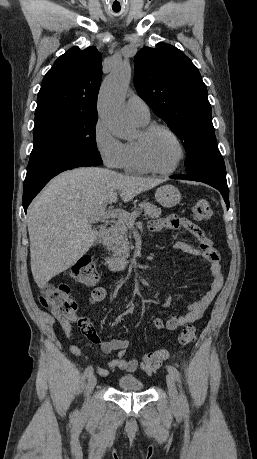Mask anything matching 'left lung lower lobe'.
Returning a JSON list of instances; mask_svg holds the SVG:
<instances>
[{
    "mask_svg": "<svg viewBox=\"0 0 257 459\" xmlns=\"http://www.w3.org/2000/svg\"><path fill=\"white\" fill-rule=\"evenodd\" d=\"M173 179H182V180H192L206 183L217 190L222 194L224 201L229 208V196H228V186L226 181V171H219L217 169H211L206 172L192 175V174H182L171 176Z\"/></svg>",
    "mask_w": 257,
    "mask_h": 459,
    "instance_id": "0a47b994",
    "label": "left lung lower lobe"
}]
</instances>
